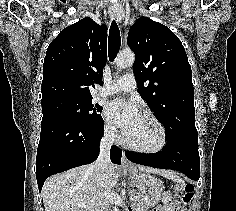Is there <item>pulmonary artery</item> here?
I'll list each match as a JSON object with an SVG mask.
<instances>
[{
	"instance_id": "pulmonary-artery-1",
	"label": "pulmonary artery",
	"mask_w": 236,
	"mask_h": 211,
	"mask_svg": "<svg viewBox=\"0 0 236 211\" xmlns=\"http://www.w3.org/2000/svg\"><path fill=\"white\" fill-rule=\"evenodd\" d=\"M137 87L136 79L133 75H123L121 78L115 80L112 84L108 86L106 91L102 92L105 94H115L119 92H129Z\"/></svg>"
}]
</instances>
